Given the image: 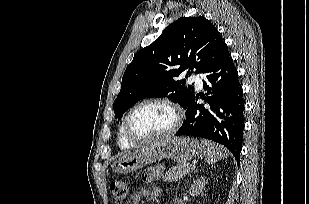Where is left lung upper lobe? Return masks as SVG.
Wrapping results in <instances>:
<instances>
[{
	"label": "left lung upper lobe",
	"instance_id": "1",
	"mask_svg": "<svg viewBox=\"0 0 309 204\" xmlns=\"http://www.w3.org/2000/svg\"><path fill=\"white\" fill-rule=\"evenodd\" d=\"M227 45L218 30L204 17H182L170 24L151 45L141 49L127 66L121 90L114 102L115 117L147 97H168L188 107L194 87L176 78L203 73Z\"/></svg>",
	"mask_w": 309,
	"mask_h": 204
}]
</instances>
